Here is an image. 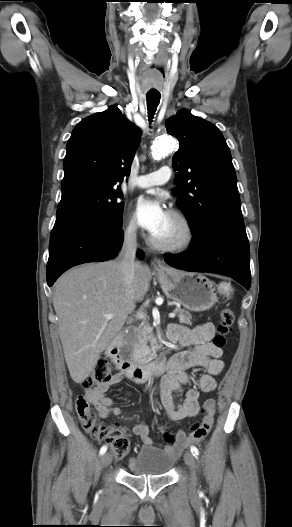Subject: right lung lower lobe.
Masks as SVG:
<instances>
[{"label":"right lung lower lobe","instance_id":"1","mask_svg":"<svg viewBox=\"0 0 292 527\" xmlns=\"http://www.w3.org/2000/svg\"><path fill=\"white\" fill-rule=\"evenodd\" d=\"M121 227L84 213L57 214L49 244L48 286L73 266L116 257L123 243ZM138 255L144 256L141 250Z\"/></svg>","mask_w":292,"mask_h":527}]
</instances>
